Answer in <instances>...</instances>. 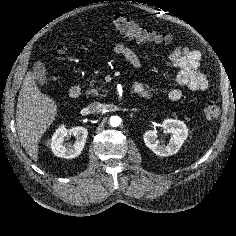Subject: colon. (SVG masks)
<instances>
[{
  "label": "colon",
  "instance_id": "1",
  "mask_svg": "<svg viewBox=\"0 0 236 236\" xmlns=\"http://www.w3.org/2000/svg\"><path fill=\"white\" fill-rule=\"evenodd\" d=\"M111 24L116 32L137 42L168 45L172 41L170 35L153 31L123 14L114 15L111 19ZM57 50L59 53L64 54L68 51V46L66 44H59ZM202 115L205 119H214L219 115V108L214 102H207L203 106Z\"/></svg>",
  "mask_w": 236,
  "mask_h": 236
}]
</instances>
